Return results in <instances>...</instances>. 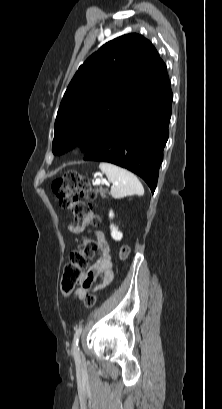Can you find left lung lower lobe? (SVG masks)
Wrapping results in <instances>:
<instances>
[{"label":"left lung lower lobe","mask_w":222,"mask_h":409,"mask_svg":"<svg viewBox=\"0 0 222 409\" xmlns=\"http://www.w3.org/2000/svg\"><path fill=\"white\" fill-rule=\"evenodd\" d=\"M172 91L167 78L124 105L86 150L84 160L104 161L139 175L155 191L169 133Z\"/></svg>","instance_id":"left-lung-lower-lobe-1"}]
</instances>
